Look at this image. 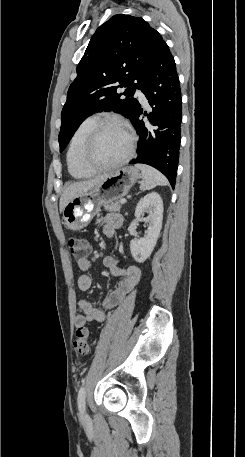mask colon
<instances>
[{
	"label": "colon",
	"mask_w": 245,
	"mask_h": 457,
	"mask_svg": "<svg viewBox=\"0 0 245 457\" xmlns=\"http://www.w3.org/2000/svg\"><path fill=\"white\" fill-rule=\"evenodd\" d=\"M68 249L77 261L86 259L90 254V245L83 239L70 238ZM74 348L78 355L86 356L89 352V330L86 327L77 328L74 335Z\"/></svg>",
	"instance_id": "5ec220e1"
}]
</instances>
